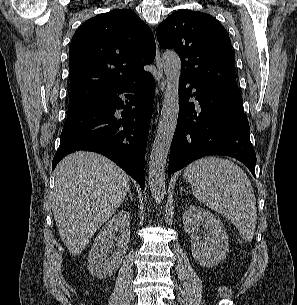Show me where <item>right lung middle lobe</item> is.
Segmentation results:
<instances>
[{
	"label": "right lung middle lobe",
	"mask_w": 297,
	"mask_h": 305,
	"mask_svg": "<svg viewBox=\"0 0 297 305\" xmlns=\"http://www.w3.org/2000/svg\"><path fill=\"white\" fill-rule=\"evenodd\" d=\"M96 99L97 98H92V99H87V100H83V101L70 103V106L68 108V115L73 114V113L83 109L84 107H86L90 103L94 102Z\"/></svg>",
	"instance_id": "obj_1"
}]
</instances>
